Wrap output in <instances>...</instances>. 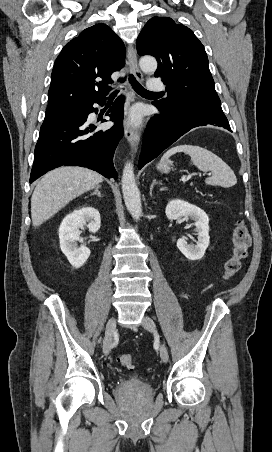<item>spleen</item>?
Wrapping results in <instances>:
<instances>
[{
    "instance_id": "obj_1",
    "label": "spleen",
    "mask_w": 272,
    "mask_h": 452,
    "mask_svg": "<svg viewBox=\"0 0 272 452\" xmlns=\"http://www.w3.org/2000/svg\"><path fill=\"white\" fill-rule=\"evenodd\" d=\"M177 152L188 154L192 164L199 170L212 173L211 177L206 178V184L229 188L237 183L233 170L220 157L199 146L184 144L172 147L165 152L161 161L167 160Z\"/></svg>"
}]
</instances>
